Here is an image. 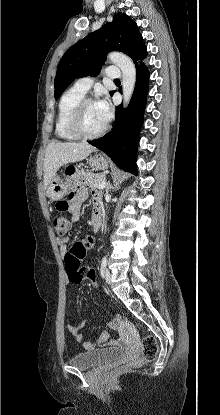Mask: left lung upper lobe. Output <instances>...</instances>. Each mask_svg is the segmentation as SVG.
Wrapping results in <instances>:
<instances>
[{"label": "left lung upper lobe", "mask_w": 220, "mask_h": 415, "mask_svg": "<svg viewBox=\"0 0 220 415\" xmlns=\"http://www.w3.org/2000/svg\"><path fill=\"white\" fill-rule=\"evenodd\" d=\"M113 50L127 54L134 63L147 56L137 24L124 13L116 14L111 23L88 34L66 51L54 80L55 99L74 79L98 75L107 53Z\"/></svg>", "instance_id": "obj_1"}]
</instances>
